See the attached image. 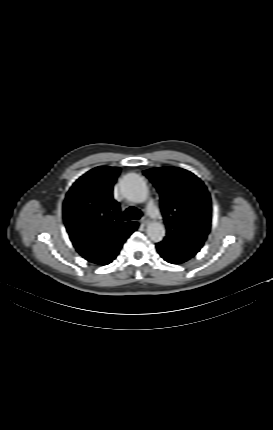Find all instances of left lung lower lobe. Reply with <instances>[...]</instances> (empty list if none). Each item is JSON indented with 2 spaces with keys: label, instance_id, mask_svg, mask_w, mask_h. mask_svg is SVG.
<instances>
[{
  "label": "left lung lower lobe",
  "instance_id": "obj_1",
  "mask_svg": "<svg viewBox=\"0 0 273 430\" xmlns=\"http://www.w3.org/2000/svg\"><path fill=\"white\" fill-rule=\"evenodd\" d=\"M164 243L160 242L156 244L157 251L161 255V257L172 264H180L187 261V256L182 252H173L170 253L167 248L163 247Z\"/></svg>",
  "mask_w": 273,
  "mask_h": 430
}]
</instances>
